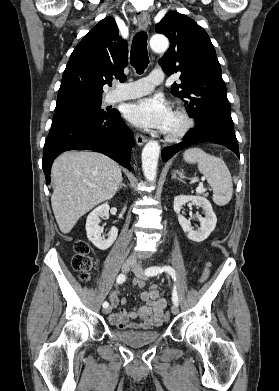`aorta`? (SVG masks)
I'll return each mask as SVG.
<instances>
[{
    "mask_svg": "<svg viewBox=\"0 0 279 391\" xmlns=\"http://www.w3.org/2000/svg\"><path fill=\"white\" fill-rule=\"evenodd\" d=\"M169 41L165 36L154 35L150 39V46L155 52H163L168 48ZM160 154V145L155 140L146 143L142 151V169L145 178L154 182L157 176V166Z\"/></svg>",
    "mask_w": 279,
    "mask_h": 391,
    "instance_id": "1",
    "label": "aorta"
}]
</instances>
